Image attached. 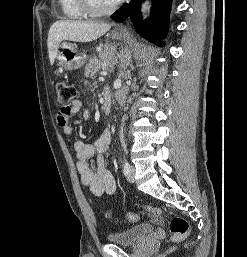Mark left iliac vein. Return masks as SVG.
<instances>
[{"instance_id":"obj_1","label":"left iliac vein","mask_w":247,"mask_h":257,"mask_svg":"<svg viewBox=\"0 0 247 257\" xmlns=\"http://www.w3.org/2000/svg\"><path fill=\"white\" fill-rule=\"evenodd\" d=\"M127 180L131 183L135 182V168L133 166H130L129 172L127 174Z\"/></svg>"}]
</instances>
